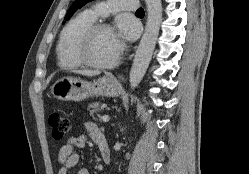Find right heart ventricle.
I'll list each match as a JSON object with an SVG mask.
<instances>
[{
  "mask_svg": "<svg viewBox=\"0 0 249 174\" xmlns=\"http://www.w3.org/2000/svg\"><path fill=\"white\" fill-rule=\"evenodd\" d=\"M94 22L95 20L86 12L78 14L68 22L57 45V59L60 67L76 69L83 65L77 55V46L84 31Z\"/></svg>",
  "mask_w": 249,
  "mask_h": 174,
  "instance_id": "obj_1",
  "label": "right heart ventricle"
}]
</instances>
